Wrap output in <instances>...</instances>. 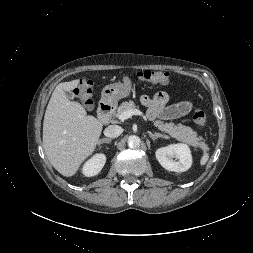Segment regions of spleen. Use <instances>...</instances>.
<instances>
[{
  "mask_svg": "<svg viewBox=\"0 0 253 253\" xmlns=\"http://www.w3.org/2000/svg\"><path fill=\"white\" fill-rule=\"evenodd\" d=\"M209 159V154L207 152H204L203 156L201 157V160H200V165H205L207 163Z\"/></svg>",
  "mask_w": 253,
  "mask_h": 253,
  "instance_id": "spleen-1",
  "label": "spleen"
}]
</instances>
